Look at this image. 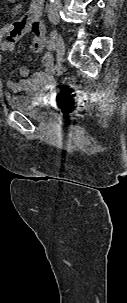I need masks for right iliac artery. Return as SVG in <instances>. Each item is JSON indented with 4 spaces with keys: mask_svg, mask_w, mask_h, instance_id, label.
<instances>
[{
    "mask_svg": "<svg viewBox=\"0 0 127 303\" xmlns=\"http://www.w3.org/2000/svg\"><path fill=\"white\" fill-rule=\"evenodd\" d=\"M47 48L52 51L55 49V43L52 40L47 41Z\"/></svg>",
    "mask_w": 127,
    "mask_h": 303,
    "instance_id": "1",
    "label": "right iliac artery"
}]
</instances>
